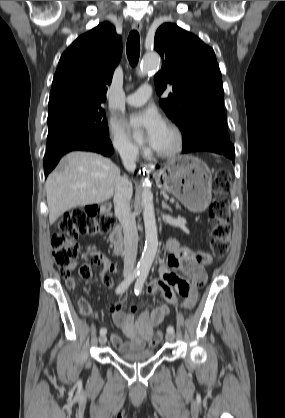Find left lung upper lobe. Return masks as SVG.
Listing matches in <instances>:
<instances>
[{
  "instance_id": "obj_1",
  "label": "left lung upper lobe",
  "mask_w": 285,
  "mask_h": 418,
  "mask_svg": "<svg viewBox=\"0 0 285 418\" xmlns=\"http://www.w3.org/2000/svg\"><path fill=\"white\" fill-rule=\"evenodd\" d=\"M154 48L163 59L154 77L157 92L161 95L172 88L159 104L181 129L183 147L207 139L230 141L222 77L213 49L172 23L159 27Z\"/></svg>"
}]
</instances>
